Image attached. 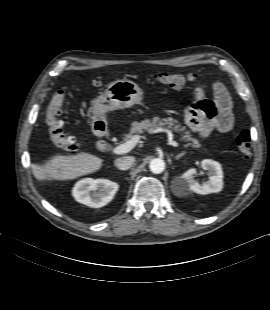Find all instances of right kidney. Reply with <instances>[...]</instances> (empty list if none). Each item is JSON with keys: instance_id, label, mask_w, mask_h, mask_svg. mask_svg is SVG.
Instances as JSON below:
<instances>
[{"instance_id": "1", "label": "right kidney", "mask_w": 270, "mask_h": 310, "mask_svg": "<svg viewBox=\"0 0 270 310\" xmlns=\"http://www.w3.org/2000/svg\"><path fill=\"white\" fill-rule=\"evenodd\" d=\"M118 188L117 183L108 179L85 178L75 184L72 195L79 203L92 208H100L113 199Z\"/></svg>"}]
</instances>
